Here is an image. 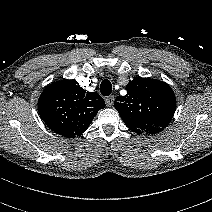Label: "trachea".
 <instances>
[{
	"label": "trachea",
	"instance_id": "trachea-1",
	"mask_svg": "<svg viewBox=\"0 0 212 212\" xmlns=\"http://www.w3.org/2000/svg\"><path fill=\"white\" fill-rule=\"evenodd\" d=\"M100 91L103 96H109L112 92L111 82L107 79L103 80L100 85Z\"/></svg>",
	"mask_w": 212,
	"mask_h": 212
}]
</instances>
